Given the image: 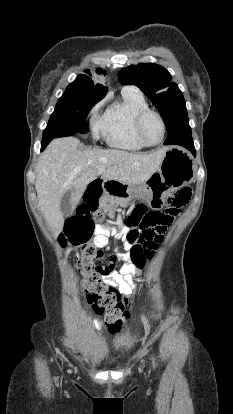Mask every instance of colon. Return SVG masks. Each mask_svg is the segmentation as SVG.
<instances>
[{
    "mask_svg": "<svg viewBox=\"0 0 233 414\" xmlns=\"http://www.w3.org/2000/svg\"><path fill=\"white\" fill-rule=\"evenodd\" d=\"M190 194V188L186 187L168 199L170 206L168 209L147 211L143 207H138L127 218L126 235L122 236V241L133 264L141 269L146 266L147 260L151 258L153 249L160 239V234L172 219V212L185 206ZM101 219V213L93 216L91 212L86 211L84 206H81L77 214L66 221L61 242L62 244L69 242L80 248L81 257L77 268L79 273H83L81 283L83 288L86 292H91V297H87V300H92V305L102 304L105 310L97 314L104 317L111 332H119L129 318L128 300L123 299L121 293L111 294L110 289H105L103 280L96 274L95 260L102 258L101 252L103 251L91 239L95 220Z\"/></svg>",
    "mask_w": 233,
    "mask_h": 414,
    "instance_id": "colon-1",
    "label": "colon"
}]
</instances>
